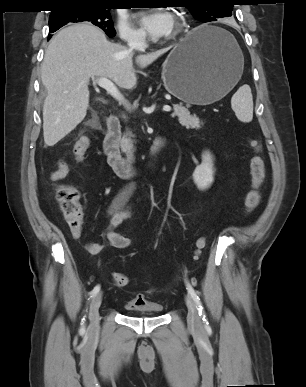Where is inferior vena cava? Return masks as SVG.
<instances>
[{
  "label": "inferior vena cava",
  "mask_w": 306,
  "mask_h": 387,
  "mask_svg": "<svg viewBox=\"0 0 306 387\" xmlns=\"http://www.w3.org/2000/svg\"><path fill=\"white\" fill-rule=\"evenodd\" d=\"M128 46L130 50L136 49L143 51L146 49L147 44L145 43L144 39L139 37H133L128 41Z\"/></svg>",
  "instance_id": "obj_1"
}]
</instances>
